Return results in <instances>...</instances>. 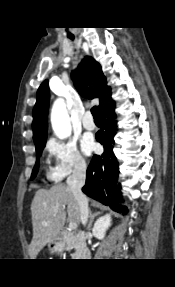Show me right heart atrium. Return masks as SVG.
I'll return each mask as SVG.
<instances>
[{"mask_svg": "<svg viewBox=\"0 0 175 287\" xmlns=\"http://www.w3.org/2000/svg\"><path fill=\"white\" fill-rule=\"evenodd\" d=\"M46 150L52 162L48 173L52 181H60L72 173L82 172L87 168L85 157L72 139L50 138Z\"/></svg>", "mask_w": 175, "mask_h": 287, "instance_id": "right-heart-atrium-1", "label": "right heart atrium"}]
</instances>
